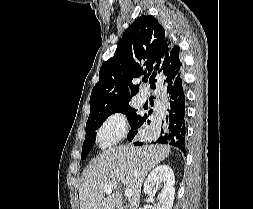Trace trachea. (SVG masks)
Listing matches in <instances>:
<instances>
[{
	"label": "trachea",
	"instance_id": "3493384b",
	"mask_svg": "<svg viewBox=\"0 0 253 209\" xmlns=\"http://www.w3.org/2000/svg\"><path fill=\"white\" fill-rule=\"evenodd\" d=\"M143 81H144V82H147V78H143Z\"/></svg>",
	"mask_w": 253,
	"mask_h": 209
}]
</instances>
